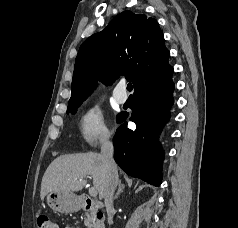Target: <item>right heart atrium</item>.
I'll list each match as a JSON object with an SVG mask.
<instances>
[{"label":"right heart atrium","instance_id":"1","mask_svg":"<svg viewBox=\"0 0 238 228\" xmlns=\"http://www.w3.org/2000/svg\"><path fill=\"white\" fill-rule=\"evenodd\" d=\"M78 132L82 144L87 148L110 140L111 132L104 113L97 104L90 105L82 111L78 121Z\"/></svg>","mask_w":238,"mask_h":228}]
</instances>
